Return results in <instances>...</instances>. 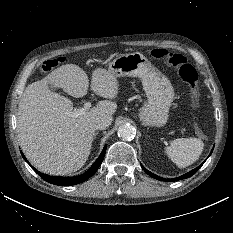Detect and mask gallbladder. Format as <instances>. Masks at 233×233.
Returning a JSON list of instances; mask_svg holds the SVG:
<instances>
[{
  "label": "gallbladder",
  "instance_id": "gallbladder-1",
  "mask_svg": "<svg viewBox=\"0 0 233 233\" xmlns=\"http://www.w3.org/2000/svg\"><path fill=\"white\" fill-rule=\"evenodd\" d=\"M49 88H50L51 91L58 90V88L56 86H54V85H50Z\"/></svg>",
  "mask_w": 233,
  "mask_h": 233
}]
</instances>
